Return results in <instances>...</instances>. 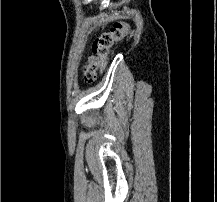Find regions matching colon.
Returning a JSON list of instances; mask_svg holds the SVG:
<instances>
[{
    "mask_svg": "<svg viewBox=\"0 0 217 202\" xmlns=\"http://www.w3.org/2000/svg\"><path fill=\"white\" fill-rule=\"evenodd\" d=\"M129 33V24L126 20H118L113 23L109 31L101 34L94 41L92 53L87 58L83 67L84 79H95V70L100 74L106 66V59L111 47L125 40Z\"/></svg>",
    "mask_w": 217,
    "mask_h": 202,
    "instance_id": "obj_1",
    "label": "colon"
}]
</instances>
